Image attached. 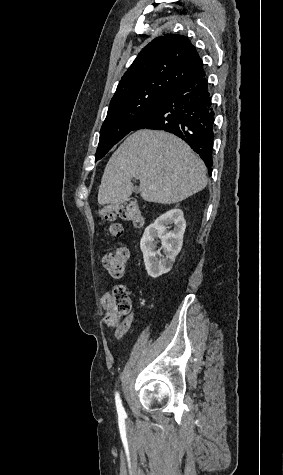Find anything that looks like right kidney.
Listing matches in <instances>:
<instances>
[{"label":"right kidney","instance_id":"1","mask_svg":"<svg viewBox=\"0 0 283 475\" xmlns=\"http://www.w3.org/2000/svg\"><path fill=\"white\" fill-rule=\"evenodd\" d=\"M171 224L174 226L173 232L168 230ZM185 228L184 214L179 208L165 212L155 220L154 224L145 228L140 247L148 275L159 277L172 269L175 257L182 247ZM155 238L161 239V249H164L165 255H161L160 251H155L157 247Z\"/></svg>","mask_w":283,"mask_h":475}]
</instances>
